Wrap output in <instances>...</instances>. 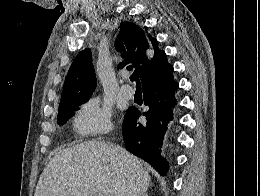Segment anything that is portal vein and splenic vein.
Masks as SVG:
<instances>
[{
    "instance_id": "obj_1",
    "label": "portal vein and splenic vein",
    "mask_w": 260,
    "mask_h": 196,
    "mask_svg": "<svg viewBox=\"0 0 260 196\" xmlns=\"http://www.w3.org/2000/svg\"><path fill=\"white\" fill-rule=\"evenodd\" d=\"M93 196H102V194H98V192H94Z\"/></svg>"
}]
</instances>
